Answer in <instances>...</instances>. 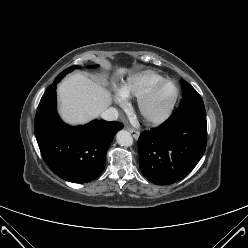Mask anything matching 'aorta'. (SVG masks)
<instances>
[{
	"instance_id": "762f6f07",
	"label": "aorta",
	"mask_w": 248,
	"mask_h": 248,
	"mask_svg": "<svg viewBox=\"0 0 248 248\" xmlns=\"http://www.w3.org/2000/svg\"><path fill=\"white\" fill-rule=\"evenodd\" d=\"M117 143L124 147H130L133 145V137L126 130H121L116 135Z\"/></svg>"
}]
</instances>
